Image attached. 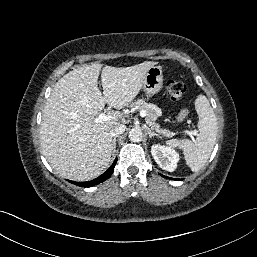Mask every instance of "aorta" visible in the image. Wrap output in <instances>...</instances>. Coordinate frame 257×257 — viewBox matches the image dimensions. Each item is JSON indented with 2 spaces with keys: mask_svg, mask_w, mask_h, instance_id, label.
<instances>
[{
  "mask_svg": "<svg viewBox=\"0 0 257 257\" xmlns=\"http://www.w3.org/2000/svg\"><path fill=\"white\" fill-rule=\"evenodd\" d=\"M143 138V132L141 128L134 127L129 132V139L132 142H140Z\"/></svg>",
  "mask_w": 257,
  "mask_h": 257,
  "instance_id": "aorta-1",
  "label": "aorta"
}]
</instances>
